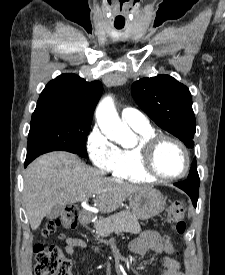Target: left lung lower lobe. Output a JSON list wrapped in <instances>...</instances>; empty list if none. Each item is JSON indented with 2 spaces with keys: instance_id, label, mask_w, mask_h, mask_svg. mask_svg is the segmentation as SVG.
Wrapping results in <instances>:
<instances>
[{
  "instance_id": "left-lung-lower-lobe-1",
  "label": "left lung lower lobe",
  "mask_w": 225,
  "mask_h": 275,
  "mask_svg": "<svg viewBox=\"0 0 225 275\" xmlns=\"http://www.w3.org/2000/svg\"><path fill=\"white\" fill-rule=\"evenodd\" d=\"M174 185L185 191L190 196L194 206L197 205L200 181L188 179L179 183H175Z\"/></svg>"
}]
</instances>
